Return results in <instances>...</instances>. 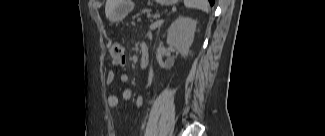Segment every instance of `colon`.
<instances>
[{"label": "colon", "instance_id": "5ec220e1", "mask_svg": "<svg viewBox=\"0 0 325 136\" xmlns=\"http://www.w3.org/2000/svg\"><path fill=\"white\" fill-rule=\"evenodd\" d=\"M109 55L115 61H123L124 60V47L119 42L111 43L109 47Z\"/></svg>", "mask_w": 325, "mask_h": 136}]
</instances>
